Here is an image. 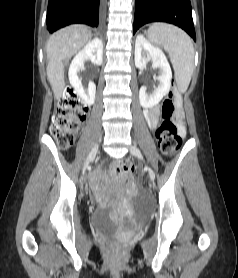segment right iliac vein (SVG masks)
Masks as SVG:
<instances>
[{"label": "right iliac vein", "instance_id": "obj_1", "mask_svg": "<svg viewBox=\"0 0 238 278\" xmlns=\"http://www.w3.org/2000/svg\"><path fill=\"white\" fill-rule=\"evenodd\" d=\"M98 147H99V144H95L92 149L90 150L86 160H85V163H84V166H82V171H81V174H85V171H87V166L89 165V163L94 159V157L96 156V153L98 151Z\"/></svg>", "mask_w": 238, "mask_h": 278}]
</instances>
